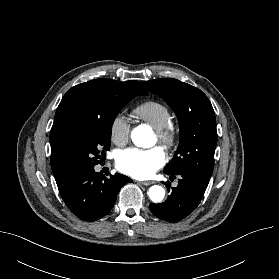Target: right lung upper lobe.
<instances>
[{
    "label": "right lung upper lobe",
    "instance_id": "1",
    "mask_svg": "<svg viewBox=\"0 0 279 279\" xmlns=\"http://www.w3.org/2000/svg\"><path fill=\"white\" fill-rule=\"evenodd\" d=\"M121 93L148 95L147 90L137 81L119 82L103 78L78 84L64 95L50 131L51 168L58 187L74 174L65 151L69 127L99 115L107 98Z\"/></svg>",
    "mask_w": 279,
    "mask_h": 279
}]
</instances>
